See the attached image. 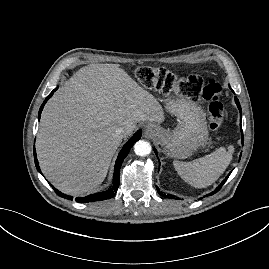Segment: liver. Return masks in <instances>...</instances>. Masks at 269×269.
Wrapping results in <instances>:
<instances>
[{
  "mask_svg": "<svg viewBox=\"0 0 269 269\" xmlns=\"http://www.w3.org/2000/svg\"><path fill=\"white\" fill-rule=\"evenodd\" d=\"M164 121L162 106L118 64L76 72L45 106L36 139L42 172L60 191L83 194L105 179L121 140L137 122Z\"/></svg>",
  "mask_w": 269,
  "mask_h": 269,
  "instance_id": "obj_1",
  "label": "liver"
}]
</instances>
